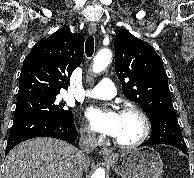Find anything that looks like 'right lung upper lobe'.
I'll use <instances>...</instances> for the list:
<instances>
[{"mask_svg":"<svg viewBox=\"0 0 194 178\" xmlns=\"http://www.w3.org/2000/svg\"><path fill=\"white\" fill-rule=\"evenodd\" d=\"M83 41L68 27L38 41L24 59L17 101L55 96L67 89L73 70L82 62Z\"/></svg>","mask_w":194,"mask_h":178,"instance_id":"1","label":"right lung upper lobe"}]
</instances>
